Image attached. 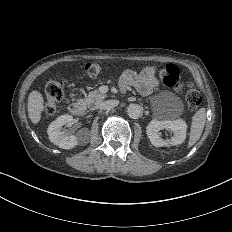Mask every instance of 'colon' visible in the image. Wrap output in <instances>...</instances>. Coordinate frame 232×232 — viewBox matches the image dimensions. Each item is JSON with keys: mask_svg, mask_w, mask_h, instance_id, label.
I'll return each instance as SVG.
<instances>
[{"mask_svg": "<svg viewBox=\"0 0 232 232\" xmlns=\"http://www.w3.org/2000/svg\"><path fill=\"white\" fill-rule=\"evenodd\" d=\"M85 76H101L100 67L94 62H89L84 65ZM164 84L166 87L180 91V99H187L189 107H202L201 97L198 91H202V86H196L195 83L184 81L182 79V70L179 66L169 64L162 70ZM45 97L42 98V103H47L43 109V114L53 116L57 114V107L53 103H60L65 100L62 87L58 81L50 80L42 84Z\"/></svg>", "mask_w": 232, "mask_h": 232, "instance_id": "colon-1", "label": "colon"}]
</instances>
